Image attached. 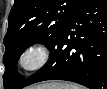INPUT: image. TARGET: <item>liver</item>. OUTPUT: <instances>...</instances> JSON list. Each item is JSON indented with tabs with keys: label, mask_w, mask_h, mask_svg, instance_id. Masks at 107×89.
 <instances>
[{
	"label": "liver",
	"mask_w": 107,
	"mask_h": 89,
	"mask_svg": "<svg viewBox=\"0 0 107 89\" xmlns=\"http://www.w3.org/2000/svg\"><path fill=\"white\" fill-rule=\"evenodd\" d=\"M62 84L60 83H47L34 87L33 89H61Z\"/></svg>",
	"instance_id": "obj_1"
}]
</instances>
